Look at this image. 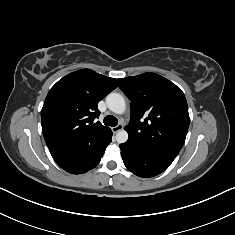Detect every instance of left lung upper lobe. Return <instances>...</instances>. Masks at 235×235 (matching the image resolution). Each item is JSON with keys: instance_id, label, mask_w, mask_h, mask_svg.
<instances>
[{"instance_id": "left-lung-upper-lobe-1", "label": "left lung upper lobe", "mask_w": 235, "mask_h": 235, "mask_svg": "<svg viewBox=\"0 0 235 235\" xmlns=\"http://www.w3.org/2000/svg\"><path fill=\"white\" fill-rule=\"evenodd\" d=\"M118 83L131 100V120L125 127L129 139L175 158L190 121L184 93L155 73L118 79Z\"/></svg>"}]
</instances>
